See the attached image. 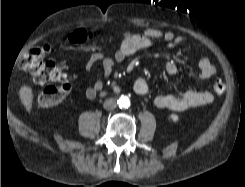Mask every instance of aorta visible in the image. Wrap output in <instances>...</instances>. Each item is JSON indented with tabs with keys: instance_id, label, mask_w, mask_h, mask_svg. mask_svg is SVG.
<instances>
[{
	"instance_id": "1",
	"label": "aorta",
	"mask_w": 245,
	"mask_h": 187,
	"mask_svg": "<svg viewBox=\"0 0 245 187\" xmlns=\"http://www.w3.org/2000/svg\"><path fill=\"white\" fill-rule=\"evenodd\" d=\"M117 103L120 108H128L130 106V100L127 96H121Z\"/></svg>"
}]
</instances>
